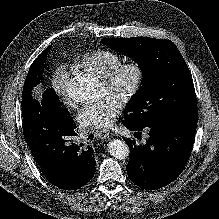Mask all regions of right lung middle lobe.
Masks as SVG:
<instances>
[{"instance_id":"1","label":"right lung middle lobe","mask_w":219,"mask_h":219,"mask_svg":"<svg viewBox=\"0 0 219 219\" xmlns=\"http://www.w3.org/2000/svg\"><path fill=\"white\" fill-rule=\"evenodd\" d=\"M51 45L47 47L32 63L22 92V110H25L27 105V100H31V97L28 96L29 93L33 90V87L38 85L42 78V73L44 70V62L47 57V53L49 52ZM25 99V100H23ZM41 106L45 109L55 111L59 113L63 118L70 119V113L68 109L60 102L57 97L55 91L53 89H48L42 95Z\"/></svg>"}]
</instances>
